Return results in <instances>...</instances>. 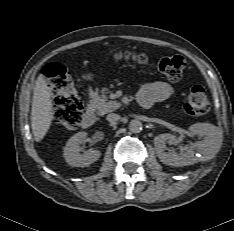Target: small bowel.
I'll use <instances>...</instances> for the list:
<instances>
[{"label":"small bowel","instance_id":"1","mask_svg":"<svg viewBox=\"0 0 234 231\" xmlns=\"http://www.w3.org/2000/svg\"><path fill=\"white\" fill-rule=\"evenodd\" d=\"M174 93L173 87L166 82L158 81L147 84L138 93V101L143 107L169 99Z\"/></svg>","mask_w":234,"mask_h":231}]
</instances>
